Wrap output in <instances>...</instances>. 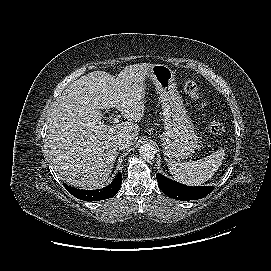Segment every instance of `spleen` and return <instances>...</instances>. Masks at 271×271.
Segmentation results:
<instances>
[{"mask_svg":"<svg viewBox=\"0 0 271 271\" xmlns=\"http://www.w3.org/2000/svg\"><path fill=\"white\" fill-rule=\"evenodd\" d=\"M224 156L225 151L220 149L200 160L169 162L168 169L177 181L189 186H199L211 179L221 166Z\"/></svg>","mask_w":271,"mask_h":271,"instance_id":"obj_1","label":"spleen"}]
</instances>
